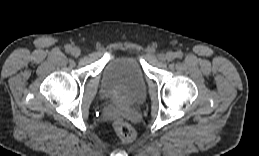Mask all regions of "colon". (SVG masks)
Here are the masks:
<instances>
[{"label":"colon","instance_id":"obj_1","mask_svg":"<svg viewBox=\"0 0 259 156\" xmlns=\"http://www.w3.org/2000/svg\"><path fill=\"white\" fill-rule=\"evenodd\" d=\"M114 129L119 141L122 143H130L135 139L136 134L133 127L123 120L116 121L114 123Z\"/></svg>","mask_w":259,"mask_h":156}]
</instances>
